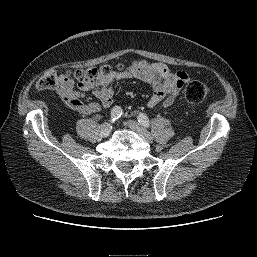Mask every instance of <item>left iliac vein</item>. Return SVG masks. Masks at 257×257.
Listing matches in <instances>:
<instances>
[{
  "instance_id": "1",
  "label": "left iliac vein",
  "mask_w": 257,
  "mask_h": 257,
  "mask_svg": "<svg viewBox=\"0 0 257 257\" xmlns=\"http://www.w3.org/2000/svg\"><path fill=\"white\" fill-rule=\"evenodd\" d=\"M128 126L134 130L144 141L151 143L153 141V137L149 131L146 130L141 124L136 121H128Z\"/></svg>"
}]
</instances>
